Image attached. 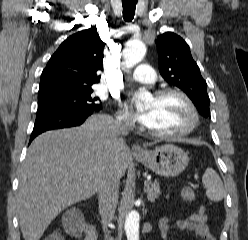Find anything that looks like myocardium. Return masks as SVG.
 Here are the masks:
<instances>
[{
  "mask_svg": "<svg viewBox=\"0 0 248 240\" xmlns=\"http://www.w3.org/2000/svg\"><path fill=\"white\" fill-rule=\"evenodd\" d=\"M167 95H176L180 97L181 99H183V101L186 103L190 111V114H191L190 123L185 128L175 131V132H158V131L151 130L149 128L147 129V132L155 137L166 138V139L179 138V137H183L185 135L190 134L198 127L199 122H200V115H199L197 107L195 106L194 102L189 97V95L181 89L167 87V88L159 89L155 92L156 98H161Z\"/></svg>",
  "mask_w": 248,
  "mask_h": 240,
  "instance_id": "myocardium-1",
  "label": "myocardium"
}]
</instances>
